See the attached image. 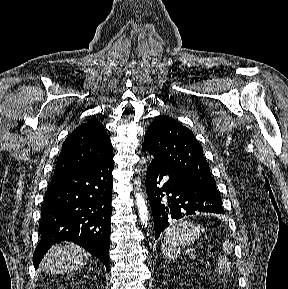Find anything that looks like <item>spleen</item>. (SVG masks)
<instances>
[{"instance_id": "spleen-1", "label": "spleen", "mask_w": 288, "mask_h": 289, "mask_svg": "<svg viewBox=\"0 0 288 289\" xmlns=\"http://www.w3.org/2000/svg\"><path fill=\"white\" fill-rule=\"evenodd\" d=\"M203 233V227L191 224L186 218L173 222L161 236V246L165 257L169 260H176L177 250L180 247L192 245ZM217 262L220 270L230 268V262L226 256H219Z\"/></svg>"}]
</instances>
